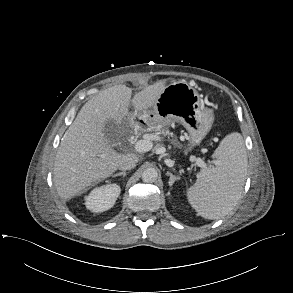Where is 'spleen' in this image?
Segmentation results:
<instances>
[{"instance_id": "3e777b00", "label": "spleen", "mask_w": 293, "mask_h": 293, "mask_svg": "<svg viewBox=\"0 0 293 293\" xmlns=\"http://www.w3.org/2000/svg\"><path fill=\"white\" fill-rule=\"evenodd\" d=\"M215 166L204 168L196 183L187 190V198L205 219L226 216L241 196L247 172V155L243 137L227 135L214 152Z\"/></svg>"}]
</instances>
